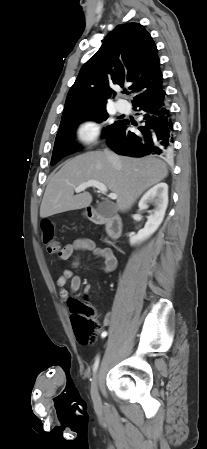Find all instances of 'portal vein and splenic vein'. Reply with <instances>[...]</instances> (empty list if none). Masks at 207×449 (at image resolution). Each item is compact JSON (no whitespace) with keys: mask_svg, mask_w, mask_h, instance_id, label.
<instances>
[{"mask_svg":"<svg viewBox=\"0 0 207 449\" xmlns=\"http://www.w3.org/2000/svg\"><path fill=\"white\" fill-rule=\"evenodd\" d=\"M89 187H95L97 188L100 192H102L103 194H106L108 189L106 187L105 184H103L102 182L96 181V180H89L85 183H82L81 185H79L78 187L75 188V192L76 193H80L82 191H84L85 189L89 188ZM109 197L111 199H117V195L115 193H110Z\"/></svg>","mask_w":207,"mask_h":449,"instance_id":"obj_1","label":"portal vein and splenic vein"}]
</instances>
